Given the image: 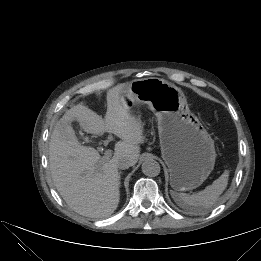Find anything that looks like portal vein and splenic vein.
Here are the masks:
<instances>
[{
    "label": "portal vein and splenic vein",
    "instance_id": "18ae733b",
    "mask_svg": "<svg viewBox=\"0 0 261 261\" xmlns=\"http://www.w3.org/2000/svg\"><path fill=\"white\" fill-rule=\"evenodd\" d=\"M112 156V151L111 150H106L104 152V159H109Z\"/></svg>",
    "mask_w": 261,
    "mask_h": 261
}]
</instances>
